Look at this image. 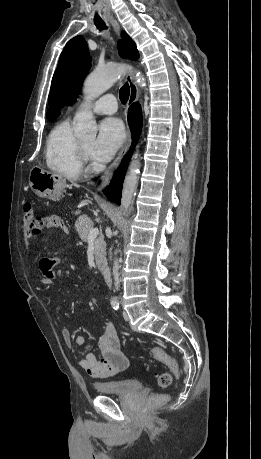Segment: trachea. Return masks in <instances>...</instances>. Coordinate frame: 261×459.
Returning a JSON list of instances; mask_svg holds the SVG:
<instances>
[{"mask_svg":"<svg viewBox=\"0 0 261 459\" xmlns=\"http://www.w3.org/2000/svg\"><path fill=\"white\" fill-rule=\"evenodd\" d=\"M94 24L99 30H102L106 27L105 22L102 20H95ZM129 94H130L129 85L128 83H125L119 90L120 100L123 104H125L128 101Z\"/></svg>","mask_w":261,"mask_h":459,"instance_id":"3493384b","label":"trachea"}]
</instances>
